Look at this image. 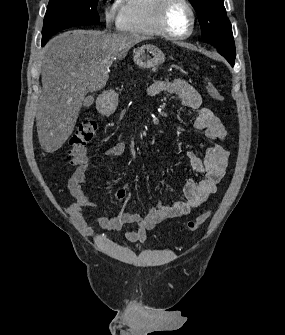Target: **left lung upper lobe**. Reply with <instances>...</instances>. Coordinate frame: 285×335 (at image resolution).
Here are the masks:
<instances>
[{"instance_id": "1", "label": "left lung upper lobe", "mask_w": 285, "mask_h": 335, "mask_svg": "<svg viewBox=\"0 0 285 335\" xmlns=\"http://www.w3.org/2000/svg\"><path fill=\"white\" fill-rule=\"evenodd\" d=\"M201 26L202 40L211 44L231 64L235 45L223 0H190Z\"/></svg>"}]
</instances>
